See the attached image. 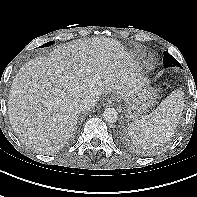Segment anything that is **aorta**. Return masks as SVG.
<instances>
[{"mask_svg": "<svg viewBox=\"0 0 197 197\" xmlns=\"http://www.w3.org/2000/svg\"><path fill=\"white\" fill-rule=\"evenodd\" d=\"M102 116L105 121L115 123L118 119V112L114 108H106Z\"/></svg>", "mask_w": 197, "mask_h": 197, "instance_id": "1", "label": "aorta"}]
</instances>
